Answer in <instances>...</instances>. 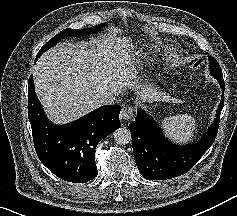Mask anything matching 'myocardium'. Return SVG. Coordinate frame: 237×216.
<instances>
[{
    "label": "myocardium",
    "instance_id": "obj_1",
    "mask_svg": "<svg viewBox=\"0 0 237 216\" xmlns=\"http://www.w3.org/2000/svg\"><path fill=\"white\" fill-rule=\"evenodd\" d=\"M179 60V57L175 53H170L165 58V70H171L174 68Z\"/></svg>",
    "mask_w": 237,
    "mask_h": 216
}]
</instances>
